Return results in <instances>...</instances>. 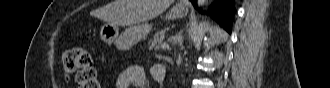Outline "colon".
Returning a JSON list of instances; mask_svg holds the SVG:
<instances>
[{
    "label": "colon",
    "instance_id": "colon-1",
    "mask_svg": "<svg viewBox=\"0 0 330 88\" xmlns=\"http://www.w3.org/2000/svg\"><path fill=\"white\" fill-rule=\"evenodd\" d=\"M63 73L68 78L76 76L82 88H99L97 70L90 52L83 47H73L62 55Z\"/></svg>",
    "mask_w": 330,
    "mask_h": 88
}]
</instances>
